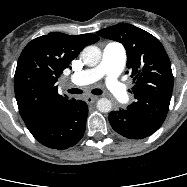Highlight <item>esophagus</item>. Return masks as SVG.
I'll list each match as a JSON object with an SVG mask.
<instances>
[{"instance_id":"obj_1","label":"esophagus","mask_w":187,"mask_h":187,"mask_svg":"<svg viewBox=\"0 0 187 187\" xmlns=\"http://www.w3.org/2000/svg\"><path fill=\"white\" fill-rule=\"evenodd\" d=\"M98 99H99L98 96H88V97H86V102H87V104H92L95 101H97Z\"/></svg>"}]
</instances>
